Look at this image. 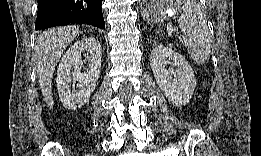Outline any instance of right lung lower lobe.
I'll use <instances>...</instances> for the list:
<instances>
[{
	"mask_svg": "<svg viewBox=\"0 0 261 156\" xmlns=\"http://www.w3.org/2000/svg\"><path fill=\"white\" fill-rule=\"evenodd\" d=\"M102 0H38L36 30L68 24L105 28Z\"/></svg>",
	"mask_w": 261,
	"mask_h": 156,
	"instance_id": "right-lung-lower-lobe-1",
	"label": "right lung lower lobe"
}]
</instances>
